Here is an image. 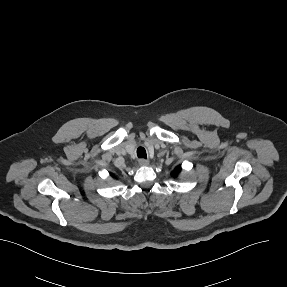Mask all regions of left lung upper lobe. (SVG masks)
Listing matches in <instances>:
<instances>
[{
    "mask_svg": "<svg viewBox=\"0 0 287 287\" xmlns=\"http://www.w3.org/2000/svg\"><path fill=\"white\" fill-rule=\"evenodd\" d=\"M181 171V167L178 166L174 169V171L171 173L173 177L177 176L178 173Z\"/></svg>",
    "mask_w": 287,
    "mask_h": 287,
    "instance_id": "5c2ea615",
    "label": "left lung upper lobe"
}]
</instances>
